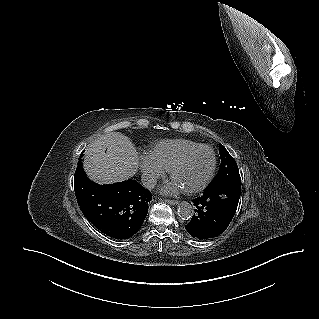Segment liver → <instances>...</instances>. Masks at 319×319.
<instances>
[{
	"mask_svg": "<svg viewBox=\"0 0 319 319\" xmlns=\"http://www.w3.org/2000/svg\"><path fill=\"white\" fill-rule=\"evenodd\" d=\"M138 160L130 139L119 132H111L88 146L84 167L92 180L108 184L132 177L137 171Z\"/></svg>",
	"mask_w": 319,
	"mask_h": 319,
	"instance_id": "6515ba94",
	"label": "liver"
}]
</instances>
